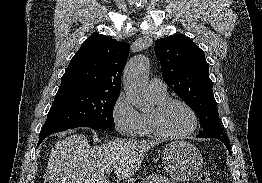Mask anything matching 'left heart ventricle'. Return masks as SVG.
Returning a JSON list of instances; mask_svg holds the SVG:
<instances>
[{"label":"left heart ventricle","instance_id":"1","mask_svg":"<svg viewBox=\"0 0 262 183\" xmlns=\"http://www.w3.org/2000/svg\"><path fill=\"white\" fill-rule=\"evenodd\" d=\"M164 130L171 134H182L193 126L191 113L180 104L171 105L162 116Z\"/></svg>","mask_w":262,"mask_h":183}]
</instances>
